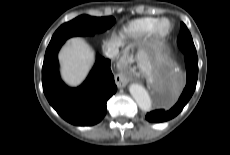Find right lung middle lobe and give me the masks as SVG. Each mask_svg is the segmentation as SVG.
Returning <instances> with one entry per match:
<instances>
[{
	"label": "right lung middle lobe",
	"instance_id": "1",
	"mask_svg": "<svg viewBox=\"0 0 230 155\" xmlns=\"http://www.w3.org/2000/svg\"><path fill=\"white\" fill-rule=\"evenodd\" d=\"M115 22L114 17H91L81 15L77 18L61 25L54 35L48 46L65 42L72 36H87L103 32L109 29Z\"/></svg>",
	"mask_w": 230,
	"mask_h": 155
}]
</instances>
